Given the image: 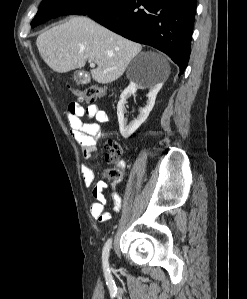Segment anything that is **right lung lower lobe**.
<instances>
[{
  "mask_svg": "<svg viewBox=\"0 0 247 299\" xmlns=\"http://www.w3.org/2000/svg\"><path fill=\"white\" fill-rule=\"evenodd\" d=\"M196 0H124L88 14L132 41L167 54L183 74L191 51Z\"/></svg>",
  "mask_w": 247,
  "mask_h": 299,
  "instance_id": "98d812e1",
  "label": "right lung lower lobe"
}]
</instances>
